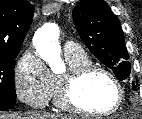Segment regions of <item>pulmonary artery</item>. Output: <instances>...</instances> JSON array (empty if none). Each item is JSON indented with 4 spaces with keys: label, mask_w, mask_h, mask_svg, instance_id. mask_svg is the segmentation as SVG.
Returning a JSON list of instances; mask_svg holds the SVG:
<instances>
[{
    "label": "pulmonary artery",
    "mask_w": 142,
    "mask_h": 119,
    "mask_svg": "<svg viewBox=\"0 0 142 119\" xmlns=\"http://www.w3.org/2000/svg\"><path fill=\"white\" fill-rule=\"evenodd\" d=\"M81 48L78 44L72 41H67L64 43V52L65 54H76L81 52Z\"/></svg>",
    "instance_id": "e3ab8cb5"
}]
</instances>
